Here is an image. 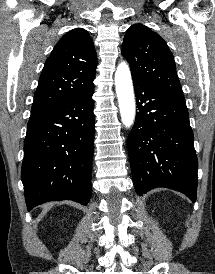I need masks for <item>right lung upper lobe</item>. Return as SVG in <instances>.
Wrapping results in <instances>:
<instances>
[{"label": "right lung upper lobe", "mask_w": 215, "mask_h": 274, "mask_svg": "<svg viewBox=\"0 0 215 274\" xmlns=\"http://www.w3.org/2000/svg\"><path fill=\"white\" fill-rule=\"evenodd\" d=\"M97 65L94 43L85 29L66 33L47 58L31 109L39 115L94 86Z\"/></svg>", "instance_id": "1"}]
</instances>
